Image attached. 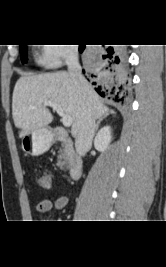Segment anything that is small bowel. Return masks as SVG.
Masks as SVG:
<instances>
[{
    "label": "small bowel",
    "instance_id": "1",
    "mask_svg": "<svg viewBox=\"0 0 166 267\" xmlns=\"http://www.w3.org/2000/svg\"><path fill=\"white\" fill-rule=\"evenodd\" d=\"M67 204L68 197L62 195L58 196L54 201L48 199L40 201L36 206V210L40 213L49 212L51 209L62 210Z\"/></svg>",
    "mask_w": 166,
    "mask_h": 267
}]
</instances>
